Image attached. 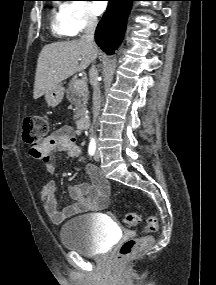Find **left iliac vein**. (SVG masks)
<instances>
[{
    "label": "left iliac vein",
    "mask_w": 216,
    "mask_h": 285,
    "mask_svg": "<svg viewBox=\"0 0 216 285\" xmlns=\"http://www.w3.org/2000/svg\"><path fill=\"white\" fill-rule=\"evenodd\" d=\"M99 159H100V153H99V150L96 149L95 154H94V160L99 161Z\"/></svg>",
    "instance_id": "1"
}]
</instances>
